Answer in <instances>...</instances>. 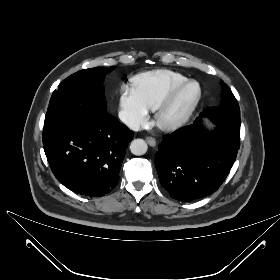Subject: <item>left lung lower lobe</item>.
Instances as JSON below:
<instances>
[{
	"label": "left lung lower lobe",
	"mask_w": 280,
	"mask_h": 280,
	"mask_svg": "<svg viewBox=\"0 0 280 280\" xmlns=\"http://www.w3.org/2000/svg\"><path fill=\"white\" fill-rule=\"evenodd\" d=\"M163 136L155 156L161 185L169 195L189 202L215 192L229 174L240 147V138L218 127L206 148L195 143L197 121Z\"/></svg>",
	"instance_id": "obj_1"
}]
</instances>
